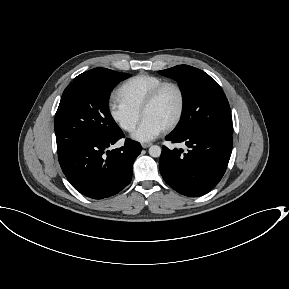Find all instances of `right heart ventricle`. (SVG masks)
Returning a JSON list of instances; mask_svg holds the SVG:
<instances>
[{
    "label": "right heart ventricle",
    "mask_w": 289,
    "mask_h": 289,
    "mask_svg": "<svg viewBox=\"0 0 289 289\" xmlns=\"http://www.w3.org/2000/svg\"><path fill=\"white\" fill-rule=\"evenodd\" d=\"M164 79L150 74H138L126 80L117 90L119 100L141 112V107L149 93Z\"/></svg>",
    "instance_id": "1"
}]
</instances>
